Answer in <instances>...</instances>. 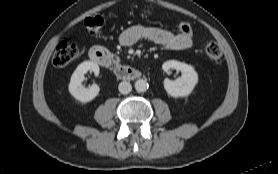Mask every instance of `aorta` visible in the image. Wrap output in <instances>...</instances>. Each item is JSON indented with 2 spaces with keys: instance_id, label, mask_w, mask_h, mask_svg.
I'll return each mask as SVG.
<instances>
[{
  "instance_id": "aorta-1",
  "label": "aorta",
  "mask_w": 278,
  "mask_h": 174,
  "mask_svg": "<svg viewBox=\"0 0 278 174\" xmlns=\"http://www.w3.org/2000/svg\"><path fill=\"white\" fill-rule=\"evenodd\" d=\"M134 86L137 92H145L148 89V82L145 79H138Z\"/></svg>"
}]
</instances>
